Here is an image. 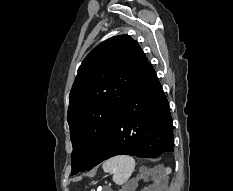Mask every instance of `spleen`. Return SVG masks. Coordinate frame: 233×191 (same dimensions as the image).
Wrapping results in <instances>:
<instances>
[{"instance_id":"1","label":"spleen","mask_w":233,"mask_h":191,"mask_svg":"<svg viewBox=\"0 0 233 191\" xmlns=\"http://www.w3.org/2000/svg\"><path fill=\"white\" fill-rule=\"evenodd\" d=\"M104 172L113 174V181L118 185L125 184L135 168L133 157L120 155L110 158L103 163Z\"/></svg>"}]
</instances>
